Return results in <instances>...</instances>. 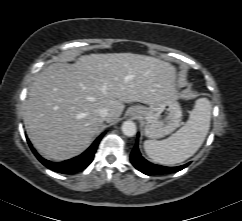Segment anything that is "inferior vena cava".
<instances>
[{
	"label": "inferior vena cava",
	"mask_w": 242,
	"mask_h": 221,
	"mask_svg": "<svg viewBox=\"0 0 242 221\" xmlns=\"http://www.w3.org/2000/svg\"><path fill=\"white\" fill-rule=\"evenodd\" d=\"M99 115L104 119H108L110 113H109V110L105 107L99 109Z\"/></svg>",
	"instance_id": "obj_1"
}]
</instances>
